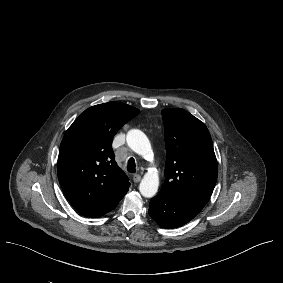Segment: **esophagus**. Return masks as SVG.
<instances>
[{
	"label": "esophagus",
	"mask_w": 283,
	"mask_h": 283,
	"mask_svg": "<svg viewBox=\"0 0 283 283\" xmlns=\"http://www.w3.org/2000/svg\"><path fill=\"white\" fill-rule=\"evenodd\" d=\"M133 181H134L135 183L140 182V181H141V176H140L139 174H135V175L133 176Z\"/></svg>",
	"instance_id": "obj_1"
}]
</instances>
